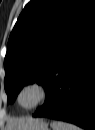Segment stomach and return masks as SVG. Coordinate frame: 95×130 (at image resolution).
<instances>
[{
	"label": "stomach",
	"mask_w": 95,
	"mask_h": 130,
	"mask_svg": "<svg viewBox=\"0 0 95 130\" xmlns=\"http://www.w3.org/2000/svg\"><path fill=\"white\" fill-rule=\"evenodd\" d=\"M16 130H49V128L44 120L29 118L24 125Z\"/></svg>",
	"instance_id": "0dacf381"
}]
</instances>
